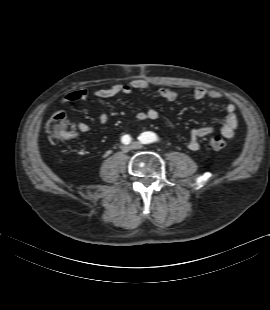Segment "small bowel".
Wrapping results in <instances>:
<instances>
[{
	"label": "small bowel",
	"instance_id": "obj_1",
	"mask_svg": "<svg viewBox=\"0 0 270 310\" xmlns=\"http://www.w3.org/2000/svg\"><path fill=\"white\" fill-rule=\"evenodd\" d=\"M135 90L150 91V87L147 82L142 79L132 80L128 84H114L107 88H99L93 92V95L99 99L112 98L118 95H131ZM155 96L173 102L178 98L175 91L170 89H158L153 92ZM89 96V91L85 88H79L65 94L62 98L63 103H71L86 100ZM193 97L197 100L203 98H210L213 100H219L222 95L214 90H208L204 87H196L193 91ZM224 116L222 118V124L220 128L221 134L226 138H232L237 129V117L236 106L232 102L225 103L222 107ZM159 113L156 109L150 108L146 111L137 114L139 121L157 120ZM100 125L104 126L109 121V115L106 112H102L98 116ZM76 129L81 133H89L93 130L92 126L85 122H78ZM214 132V128L211 126H203L194 128L190 131L187 146L192 151H197L200 148L199 140L205 136H208Z\"/></svg>",
	"mask_w": 270,
	"mask_h": 310
}]
</instances>
